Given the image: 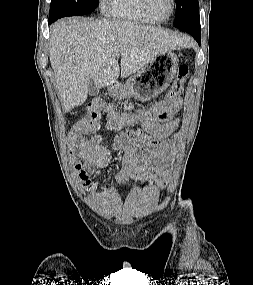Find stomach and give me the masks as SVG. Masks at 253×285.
I'll return each mask as SVG.
<instances>
[{"instance_id":"stomach-1","label":"stomach","mask_w":253,"mask_h":285,"mask_svg":"<svg viewBox=\"0 0 253 285\" xmlns=\"http://www.w3.org/2000/svg\"><path fill=\"white\" fill-rule=\"evenodd\" d=\"M178 62L179 59L173 51H163L126 83L115 82L108 85V93L117 100L134 97L139 101H146L154 98L170 85Z\"/></svg>"}]
</instances>
